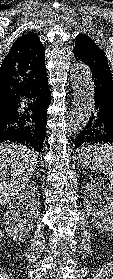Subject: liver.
<instances>
[{"mask_svg":"<svg viewBox=\"0 0 113 279\" xmlns=\"http://www.w3.org/2000/svg\"><path fill=\"white\" fill-rule=\"evenodd\" d=\"M38 153L20 144H0V207L25 188L38 163Z\"/></svg>","mask_w":113,"mask_h":279,"instance_id":"obj_1","label":"liver"}]
</instances>
